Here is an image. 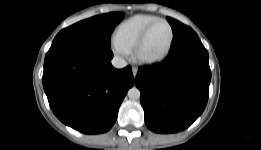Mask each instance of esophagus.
I'll list each match as a JSON object with an SVG mask.
<instances>
[{"instance_id":"34e87169","label":"esophagus","mask_w":261,"mask_h":150,"mask_svg":"<svg viewBox=\"0 0 261 150\" xmlns=\"http://www.w3.org/2000/svg\"><path fill=\"white\" fill-rule=\"evenodd\" d=\"M137 72H138V68L137 67H132V73H133L134 77H136Z\"/></svg>"}]
</instances>
